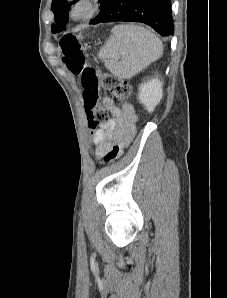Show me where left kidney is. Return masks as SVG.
Instances as JSON below:
<instances>
[{
    "mask_svg": "<svg viewBox=\"0 0 227 298\" xmlns=\"http://www.w3.org/2000/svg\"><path fill=\"white\" fill-rule=\"evenodd\" d=\"M163 82L158 76L139 86L138 99L148 112H153L163 96Z\"/></svg>",
    "mask_w": 227,
    "mask_h": 298,
    "instance_id": "obj_1",
    "label": "left kidney"
}]
</instances>
